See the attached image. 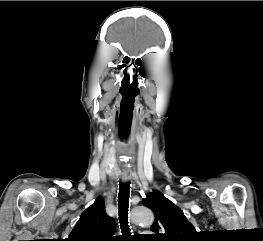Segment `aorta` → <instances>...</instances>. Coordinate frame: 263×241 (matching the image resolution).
Masks as SVG:
<instances>
[{
  "instance_id": "762f6f07",
  "label": "aorta",
  "mask_w": 263,
  "mask_h": 241,
  "mask_svg": "<svg viewBox=\"0 0 263 241\" xmlns=\"http://www.w3.org/2000/svg\"><path fill=\"white\" fill-rule=\"evenodd\" d=\"M153 219V213L148 207L138 206L131 211V220L135 224L151 225Z\"/></svg>"
}]
</instances>
